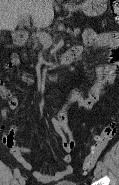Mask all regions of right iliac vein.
Listing matches in <instances>:
<instances>
[{
  "label": "right iliac vein",
  "mask_w": 119,
  "mask_h": 185,
  "mask_svg": "<svg viewBox=\"0 0 119 185\" xmlns=\"http://www.w3.org/2000/svg\"><path fill=\"white\" fill-rule=\"evenodd\" d=\"M19 185H25V178L23 176H19Z\"/></svg>",
  "instance_id": "1"
}]
</instances>
